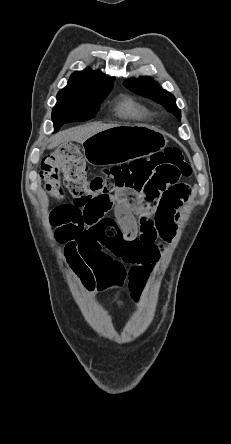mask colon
<instances>
[{"mask_svg":"<svg viewBox=\"0 0 231 444\" xmlns=\"http://www.w3.org/2000/svg\"><path fill=\"white\" fill-rule=\"evenodd\" d=\"M191 172L190 164L178 148H167L149 158L103 169L92 177L88 176L86 162L74 144L60 146L41 164V176L46 189L53 196L62 197V180L75 200L92 196L107 198L125 189L140 192L156 183L164 187L178 186V181L188 177ZM94 181H98L95 186L92 185ZM67 220L61 205L52 210L53 226H61ZM66 258L72 268L80 263V258L73 252L66 253Z\"/></svg>","mask_w":231,"mask_h":444,"instance_id":"5ec220e1","label":"colon"}]
</instances>
